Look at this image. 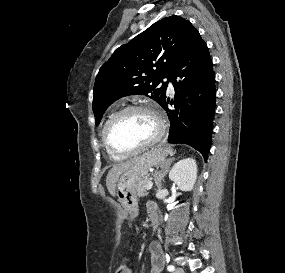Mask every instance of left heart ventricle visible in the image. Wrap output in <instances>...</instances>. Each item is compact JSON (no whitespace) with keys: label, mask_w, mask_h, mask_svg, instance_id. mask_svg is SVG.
I'll return each instance as SVG.
<instances>
[{"label":"left heart ventricle","mask_w":285,"mask_h":273,"mask_svg":"<svg viewBox=\"0 0 285 273\" xmlns=\"http://www.w3.org/2000/svg\"><path fill=\"white\" fill-rule=\"evenodd\" d=\"M156 132L157 124L150 114L131 111L115 122L110 132V140L117 148L130 150L151 140Z\"/></svg>","instance_id":"b2bd125f"}]
</instances>
